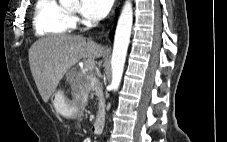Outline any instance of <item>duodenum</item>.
<instances>
[{"label": "duodenum", "instance_id": "obj_1", "mask_svg": "<svg viewBox=\"0 0 227 142\" xmlns=\"http://www.w3.org/2000/svg\"><path fill=\"white\" fill-rule=\"evenodd\" d=\"M103 117H104L103 113H100L98 118L93 123L91 130L94 134H99L101 132L103 125Z\"/></svg>", "mask_w": 227, "mask_h": 142}]
</instances>
